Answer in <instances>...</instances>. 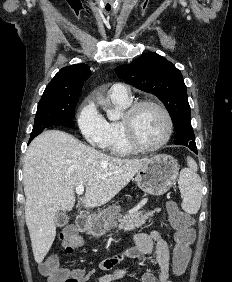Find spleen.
Instances as JSON below:
<instances>
[{"label":"spleen","instance_id":"spleen-1","mask_svg":"<svg viewBox=\"0 0 232 282\" xmlns=\"http://www.w3.org/2000/svg\"><path fill=\"white\" fill-rule=\"evenodd\" d=\"M188 168L181 170L178 180L183 198L182 209L189 214H196L201 205L202 182L197 174L198 166L193 158L187 157Z\"/></svg>","mask_w":232,"mask_h":282}]
</instances>
